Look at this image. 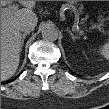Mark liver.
I'll use <instances>...</instances> for the list:
<instances>
[{"mask_svg":"<svg viewBox=\"0 0 109 109\" xmlns=\"http://www.w3.org/2000/svg\"><path fill=\"white\" fill-rule=\"evenodd\" d=\"M23 9H4L1 17V78H10L17 70L20 61L22 22H31L37 25V15L32 11L33 1H22Z\"/></svg>","mask_w":109,"mask_h":109,"instance_id":"liver-1","label":"liver"}]
</instances>
